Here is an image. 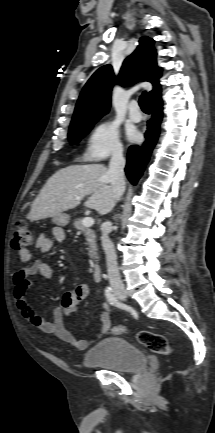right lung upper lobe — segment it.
Listing matches in <instances>:
<instances>
[{"mask_svg":"<svg viewBox=\"0 0 215 433\" xmlns=\"http://www.w3.org/2000/svg\"><path fill=\"white\" fill-rule=\"evenodd\" d=\"M154 40L141 37L136 50L128 56L115 78L111 65L99 68L84 86L77 101L71 124L99 120L109 111L113 85H131L140 81L153 84L148 93L149 100L161 93L159 78L161 70L157 66Z\"/></svg>","mask_w":215,"mask_h":433,"instance_id":"right-lung-upper-lobe-1","label":"right lung upper lobe"}]
</instances>
